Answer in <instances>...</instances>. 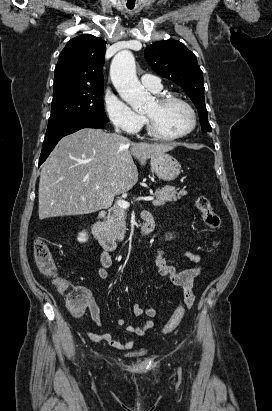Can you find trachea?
I'll return each mask as SVG.
<instances>
[{
	"mask_svg": "<svg viewBox=\"0 0 272 411\" xmlns=\"http://www.w3.org/2000/svg\"><path fill=\"white\" fill-rule=\"evenodd\" d=\"M129 9H133L134 8V6H127Z\"/></svg>",
	"mask_w": 272,
	"mask_h": 411,
	"instance_id": "1",
	"label": "trachea"
}]
</instances>
